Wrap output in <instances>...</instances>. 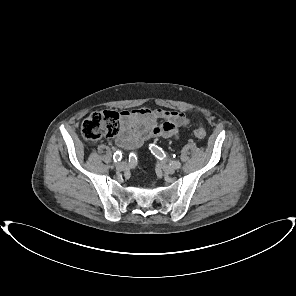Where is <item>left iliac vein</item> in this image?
<instances>
[{
	"label": "left iliac vein",
	"instance_id": "left-iliac-vein-1",
	"mask_svg": "<svg viewBox=\"0 0 296 296\" xmlns=\"http://www.w3.org/2000/svg\"><path fill=\"white\" fill-rule=\"evenodd\" d=\"M160 167L162 168V170H163L166 174H173V173L175 172V170H176L175 167H173V166H169V165H167V164H165V163H161V164H160Z\"/></svg>",
	"mask_w": 296,
	"mask_h": 296
}]
</instances>
